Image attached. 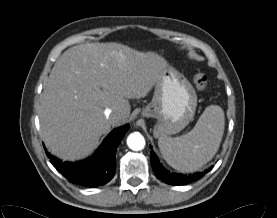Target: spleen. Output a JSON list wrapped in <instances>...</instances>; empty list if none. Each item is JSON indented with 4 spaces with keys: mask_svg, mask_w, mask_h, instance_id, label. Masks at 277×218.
I'll return each instance as SVG.
<instances>
[{
    "mask_svg": "<svg viewBox=\"0 0 277 218\" xmlns=\"http://www.w3.org/2000/svg\"><path fill=\"white\" fill-rule=\"evenodd\" d=\"M224 126L223 109L217 105H210L187 134L175 138L160 137V152L165 161L178 171L198 170L217 153Z\"/></svg>",
    "mask_w": 277,
    "mask_h": 218,
    "instance_id": "3e777b00",
    "label": "spleen"
}]
</instances>
